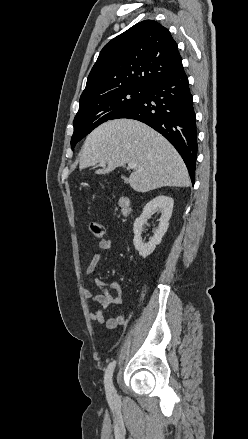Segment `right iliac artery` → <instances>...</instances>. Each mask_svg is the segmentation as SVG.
<instances>
[{
	"instance_id": "1",
	"label": "right iliac artery",
	"mask_w": 248,
	"mask_h": 439,
	"mask_svg": "<svg viewBox=\"0 0 248 439\" xmlns=\"http://www.w3.org/2000/svg\"><path fill=\"white\" fill-rule=\"evenodd\" d=\"M115 365H116V361L111 362L105 371L104 385H105V390H106L108 395H111L114 392V386L112 383V376H113V371H114Z\"/></svg>"
}]
</instances>
